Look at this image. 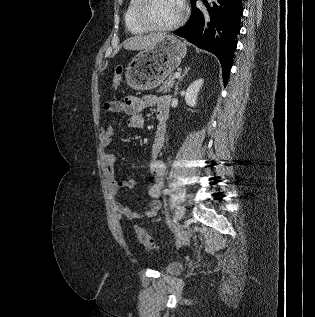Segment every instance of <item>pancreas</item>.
<instances>
[{
	"label": "pancreas",
	"instance_id": "pancreas-1",
	"mask_svg": "<svg viewBox=\"0 0 315 317\" xmlns=\"http://www.w3.org/2000/svg\"><path fill=\"white\" fill-rule=\"evenodd\" d=\"M174 85V75H169L162 86L158 89V93H167Z\"/></svg>",
	"mask_w": 315,
	"mask_h": 317
}]
</instances>
